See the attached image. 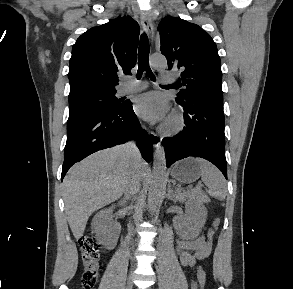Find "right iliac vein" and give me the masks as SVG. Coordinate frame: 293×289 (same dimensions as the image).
<instances>
[{"label":"right iliac vein","instance_id":"right-iliac-vein-1","mask_svg":"<svg viewBox=\"0 0 293 289\" xmlns=\"http://www.w3.org/2000/svg\"><path fill=\"white\" fill-rule=\"evenodd\" d=\"M132 288H133L132 275H130L129 280H128L127 285H126V289H132Z\"/></svg>","mask_w":293,"mask_h":289}]
</instances>
